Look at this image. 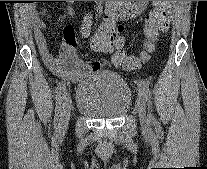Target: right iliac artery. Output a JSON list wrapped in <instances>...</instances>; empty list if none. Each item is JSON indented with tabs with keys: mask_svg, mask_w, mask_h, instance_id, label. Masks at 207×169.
Returning a JSON list of instances; mask_svg holds the SVG:
<instances>
[{
	"mask_svg": "<svg viewBox=\"0 0 207 169\" xmlns=\"http://www.w3.org/2000/svg\"><path fill=\"white\" fill-rule=\"evenodd\" d=\"M92 25V15L88 14L84 17L83 25H82V36L86 37L89 35V31ZM66 94V87L65 83L61 82L56 90V109H55V119L54 124L55 127H59L60 124V118L62 114V106H63V100L64 96Z\"/></svg>",
	"mask_w": 207,
	"mask_h": 169,
	"instance_id": "1",
	"label": "right iliac artery"
}]
</instances>
